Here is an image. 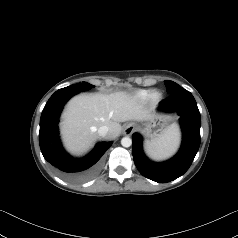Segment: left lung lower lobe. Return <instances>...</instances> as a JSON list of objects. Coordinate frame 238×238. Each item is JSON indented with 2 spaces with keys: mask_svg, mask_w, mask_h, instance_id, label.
I'll return each mask as SVG.
<instances>
[{
  "mask_svg": "<svg viewBox=\"0 0 238 238\" xmlns=\"http://www.w3.org/2000/svg\"><path fill=\"white\" fill-rule=\"evenodd\" d=\"M160 112H177L182 129V145L179 152L163 163L150 161L142 150V137L132 135V153L135 165L146 178L158 183L173 181L190 167L200 146V112L192 94L181 88L163 100L158 107Z\"/></svg>",
  "mask_w": 238,
  "mask_h": 238,
  "instance_id": "0a47b994",
  "label": "left lung lower lobe"
}]
</instances>
